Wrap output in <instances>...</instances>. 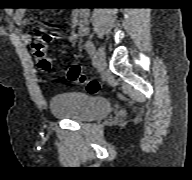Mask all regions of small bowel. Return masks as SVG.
Listing matches in <instances>:
<instances>
[{
    "mask_svg": "<svg viewBox=\"0 0 192 180\" xmlns=\"http://www.w3.org/2000/svg\"><path fill=\"white\" fill-rule=\"evenodd\" d=\"M14 21L18 25L27 23L25 19V11L17 10L14 14ZM88 33V13L85 10H74L71 15L70 33L68 39L71 44H75L80 36ZM20 38L25 43H30L32 40L31 34L21 32Z\"/></svg>",
    "mask_w": 192,
    "mask_h": 180,
    "instance_id": "obj_1",
    "label": "small bowel"
}]
</instances>
